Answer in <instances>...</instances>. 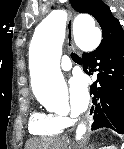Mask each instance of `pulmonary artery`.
I'll list each match as a JSON object with an SVG mask.
<instances>
[{
  "label": "pulmonary artery",
  "instance_id": "1",
  "mask_svg": "<svg viewBox=\"0 0 124 149\" xmlns=\"http://www.w3.org/2000/svg\"><path fill=\"white\" fill-rule=\"evenodd\" d=\"M61 68L65 71L71 68V58L68 55L63 56L61 62Z\"/></svg>",
  "mask_w": 124,
  "mask_h": 149
}]
</instances>
